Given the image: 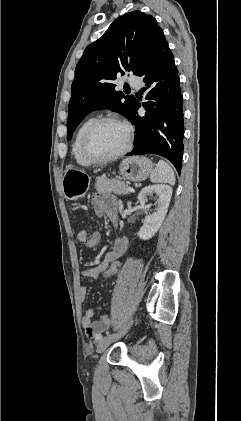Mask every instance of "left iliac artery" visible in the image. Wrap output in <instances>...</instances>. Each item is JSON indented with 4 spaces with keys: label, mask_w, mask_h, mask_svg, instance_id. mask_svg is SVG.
I'll return each mask as SVG.
<instances>
[{
    "label": "left iliac artery",
    "mask_w": 241,
    "mask_h": 421,
    "mask_svg": "<svg viewBox=\"0 0 241 421\" xmlns=\"http://www.w3.org/2000/svg\"><path fill=\"white\" fill-rule=\"evenodd\" d=\"M101 338H102V336H101V335L97 337V339H101Z\"/></svg>",
    "instance_id": "left-iliac-artery-1"
}]
</instances>
